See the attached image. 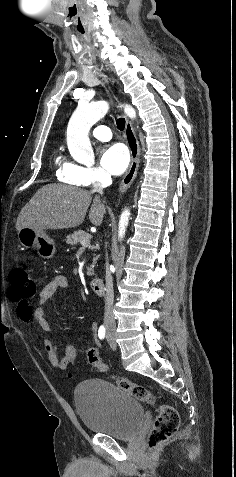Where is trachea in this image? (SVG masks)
<instances>
[{"label":"trachea","mask_w":236,"mask_h":477,"mask_svg":"<svg viewBox=\"0 0 236 477\" xmlns=\"http://www.w3.org/2000/svg\"><path fill=\"white\" fill-rule=\"evenodd\" d=\"M116 124H117V128H118L120 131H123L124 128H125V119H124V118H119V119H117Z\"/></svg>","instance_id":"1"}]
</instances>
